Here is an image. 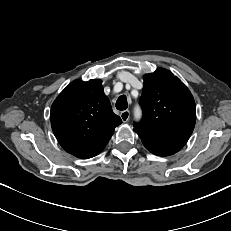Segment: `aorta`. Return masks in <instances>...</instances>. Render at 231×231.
<instances>
[{
	"instance_id": "aorta-1",
	"label": "aorta",
	"mask_w": 231,
	"mask_h": 231,
	"mask_svg": "<svg viewBox=\"0 0 231 231\" xmlns=\"http://www.w3.org/2000/svg\"><path fill=\"white\" fill-rule=\"evenodd\" d=\"M134 114H135V117H136L137 119H139V118H140V115H141V112H140L138 109H136Z\"/></svg>"
}]
</instances>
